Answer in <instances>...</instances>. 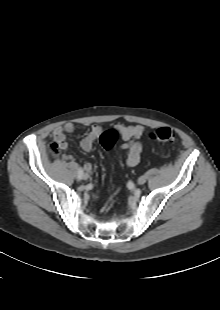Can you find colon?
Segmentation results:
<instances>
[{"label":"colon","mask_w":220,"mask_h":310,"mask_svg":"<svg viewBox=\"0 0 220 310\" xmlns=\"http://www.w3.org/2000/svg\"><path fill=\"white\" fill-rule=\"evenodd\" d=\"M120 133L117 129H110L103 132L99 137V142L101 146L110 150L116 144ZM149 138L162 142V143H172L175 141V134L169 127H160L149 133ZM61 147L58 142L52 141L49 144V151L53 157H59L61 155Z\"/></svg>","instance_id":"colon-1"}]
</instances>
